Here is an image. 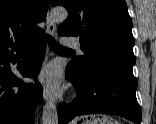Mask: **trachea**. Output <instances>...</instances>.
Here are the masks:
<instances>
[{
    "label": "trachea",
    "instance_id": "3493384b",
    "mask_svg": "<svg viewBox=\"0 0 156 124\" xmlns=\"http://www.w3.org/2000/svg\"><path fill=\"white\" fill-rule=\"evenodd\" d=\"M46 40H47L48 46L51 50H54V51H72L66 47L61 46L50 35H47Z\"/></svg>",
    "mask_w": 156,
    "mask_h": 124
}]
</instances>
